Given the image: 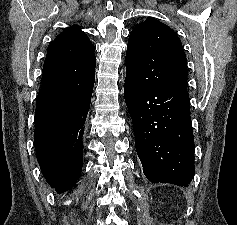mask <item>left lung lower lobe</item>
Returning <instances> with one entry per match:
<instances>
[{
  "instance_id": "left-lung-lower-lobe-1",
  "label": "left lung lower lobe",
  "mask_w": 237,
  "mask_h": 225,
  "mask_svg": "<svg viewBox=\"0 0 237 225\" xmlns=\"http://www.w3.org/2000/svg\"><path fill=\"white\" fill-rule=\"evenodd\" d=\"M124 96L144 175L153 183L187 187L195 150L188 92L143 87L127 72Z\"/></svg>"
}]
</instances>
